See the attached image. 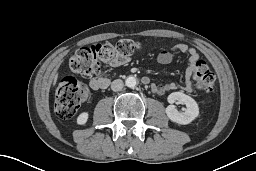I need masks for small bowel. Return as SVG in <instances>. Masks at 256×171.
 <instances>
[{"label":"small bowel","mask_w":256,"mask_h":171,"mask_svg":"<svg viewBox=\"0 0 256 171\" xmlns=\"http://www.w3.org/2000/svg\"><path fill=\"white\" fill-rule=\"evenodd\" d=\"M173 52H179L186 54L189 58V66L186 72L185 84L180 86L176 83H166V84H153L152 90L157 94H164L168 91L181 89L184 91H189L191 89L190 85V77L192 75L195 64L199 60V54L197 50L193 47L188 46L185 43H176L174 44L170 50H162L158 56L157 61L160 64L166 65L172 62L173 60ZM129 62V57H116L113 60L108 62L109 67H119L123 66ZM148 80V78H146ZM90 87L94 90L105 89L110 84V78L107 76L101 75H93L89 80Z\"/></svg>","instance_id":"obj_1"}]
</instances>
